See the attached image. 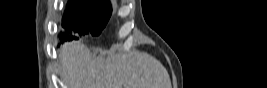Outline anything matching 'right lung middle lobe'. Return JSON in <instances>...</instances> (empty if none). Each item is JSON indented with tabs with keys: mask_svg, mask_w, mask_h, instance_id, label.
Masks as SVG:
<instances>
[{
	"mask_svg": "<svg viewBox=\"0 0 267 88\" xmlns=\"http://www.w3.org/2000/svg\"><path fill=\"white\" fill-rule=\"evenodd\" d=\"M110 15L109 2L72 0L68 4L63 20V27L68 30L60 38L64 41L77 39L71 32L98 36L106 26Z\"/></svg>",
	"mask_w": 267,
	"mask_h": 88,
	"instance_id": "right-lung-middle-lobe-1",
	"label": "right lung middle lobe"
}]
</instances>
